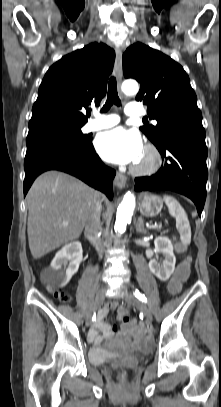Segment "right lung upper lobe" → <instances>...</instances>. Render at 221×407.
Here are the masks:
<instances>
[{
	"instance_id": "right-lung-upper-lobe-1",
	"label": "right lung upper lobe",
	"mask_w": 221,
	"mask_h": 407,
	"mask_svg": "<svg viewBox=\"0 0 221 407\" xmlns=\"http://www.w3.org/2000/svg\"><path fill=\"white\" fill-rule=\"evenodd\" d=\"M115 52L92 43L62 57L45 74L32 108L29 128L55 124H85L88 106L106 94Z\"/></svg>"
}]
</instances>
